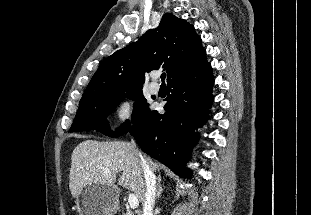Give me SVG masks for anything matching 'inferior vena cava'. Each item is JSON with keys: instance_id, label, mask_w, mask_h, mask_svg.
<instances>
[{"instance_id": "obj_1", "label": "inferior vena cava", "mask_w": 311, "mask_h": 215, "mask_svg": "<svg viewBox=\"0 0 311 215\" xmlns=\"http://www.w3.org/2000/svg\"><path fill=\"white\" fill-rule=\"evenodd\" d=\"M134 154L138 157L145 178L146 192L144 196L143 212L144 215H153V206L156 196V177L150 168L145 157L137 150L135 142L131 141Z\"/></svg>"}]
</instances>
